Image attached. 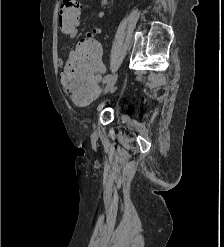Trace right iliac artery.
Instances as JSON below:
<instances>
[{
  "mask_svg": "<svg viewBox=\"0 0 224 247\" xmlns=\"http://www.w3.org/2000/svg\"><path fill=\"white\" fill-rule=\"evenodd\" d=\"M110 78H111V75L105 76L104 79H103V83H107Z\"/></svg>",
  "mask_w": 224,
  "mask_h": 247,
  "instance_id": "82829eb1",
  "label": "right iliac artery"
}]
</instances>
